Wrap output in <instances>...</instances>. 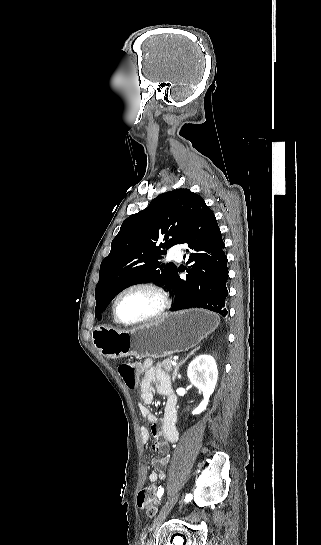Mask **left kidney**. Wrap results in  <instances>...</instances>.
I'll use <instances>...</instances> for the list:
<instances>
[{
  "mask_svg": "<svg viewBox=\"0 0 321 545\" xmlns=\"http://www.w3.org/2000/svg\"><path fill=\"white\" fill-rule=\"evenodd\" d=\"M187 377L190 383L203 393V401L192 413V415H200L202 411H205L218 379L217 363L214 357L199 355L193 359L187 369Z\"/></svg>",
  "mask_w": 321,
  "mask_h": 545,
  "instance_id": "left-kidney-1",
  "label": "left kidney"
}]
</instances>
